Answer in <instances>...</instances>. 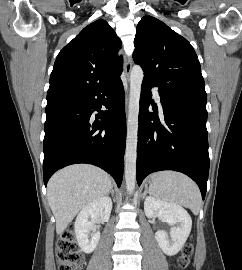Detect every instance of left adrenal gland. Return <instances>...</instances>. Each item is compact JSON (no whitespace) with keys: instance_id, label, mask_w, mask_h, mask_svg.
Masks as SVG:
<instances>
[{"instance_id":"a2214340","label":"left adrenal gland","mask_w":242,"mask_h":270,"mask_svg":"<svg viewBox=\"0 0 242 270\" xmlns=\"http://www.w3.org/2000/svg\"><path fill=\"white\" fill-rule=\"evenodd\" d=\"M148 193V188L145 189L144 193H143V198H145L146 194Z\"/></svg>"}]
</instances>
